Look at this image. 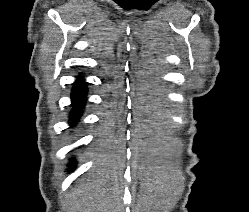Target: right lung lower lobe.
Returning a JSON list of instances; mask_svg holds the SVG:
<instances>
[{
	"mask_svg": "<svg viewBox=\"0 0 249 212\" xmlns=\"http://www.w3.org/2000/svg\"><path fill=\"white\" fill-rule=\"evenodd\" d=\"M86 83L83 80L78 79L75 82L74 89L72 91V101H73V107L75 108L73 115L71 119L73 122H76L78 119V116L81 112V106L84 105L86 100Z\"/></svg>",
	"mask_w": 249,
	"mask_h": 212,
	"instance_id": "right-lung-lower-lobe-1",
	"label": "right lung lower lobe"
}]
</instances>
